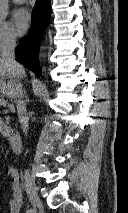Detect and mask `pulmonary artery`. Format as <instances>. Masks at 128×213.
Listing matches in <instances>:
<instances>
[{"mask_svg":"<svg viewBox=\"0 0 128 213\" xmlns=\"http://www.w3.org/2000/svg\"><path fill=\"white\" fill-rule=\"evenodd\" d=\"M26 0H13L14 3H17V4H22L24 3Z\"/></svg>","mask_w":128,"mask_h":213,"instance_id":"1","label":"pulmonary artery"}]
</instances>
